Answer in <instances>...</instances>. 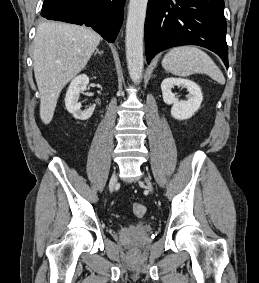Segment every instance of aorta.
Segmentation results:
<instances>
[{
    "instance_id": "1",
    "label": "aorta",
    "mask_w": 259,
    "mask_h": 283,
    "mask_svg": "<svg viewBox=\"0 0 259 283\" xmlns=\"http://www.w3.org/2000/svg\"><path fill=\"white\" fill-rule=\"evenodd\" d=\"M148 0H130L126 23V60L129 76L139 83L144 67L143 37Z\"/></svg>"
}]
</instances>
